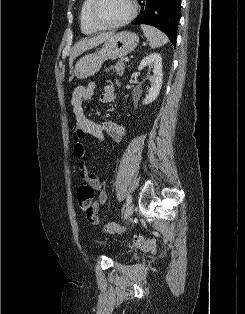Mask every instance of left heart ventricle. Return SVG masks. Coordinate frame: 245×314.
Returning <instances> with one entry per match:
<instances>
[{
  "instance_id": "1",
  "label": "left heart ventricle",
  "mask_w": 245,
  "mask_h": 314,
  "mask_svg": "<svg viewBox=\"0 0 245 314\" xmlns=\"http://www.w3.org/2000/svg\"><path fill=\"white\" fill-rule=\"evenodd\" d=\"M131 11L129 0H99L97 14L101 21L114 23L125 18Z\"/></svg>"
}]
</instances>
